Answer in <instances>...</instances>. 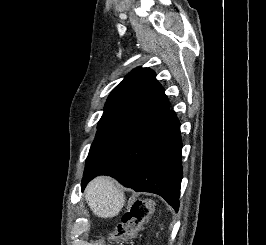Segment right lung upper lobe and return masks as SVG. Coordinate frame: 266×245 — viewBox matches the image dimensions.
Here are the masks:
<instances>
[{
	"label": "right lung upper lobe",
	"instance_id": "1",
	"mask_svg": "<svg viewBox=\"0 0 266 245\" xmlns=\"http://www.w3.org/2000/svg\"><path fill=\"white\" fill-rule=\"evenodd\" d=\"M169 108L155 73L148 68H136L110 93L103 116L146 121Z\"/></svg>",
	"mask_w": 266,
	"mask_h": 245
}]
</instances>
